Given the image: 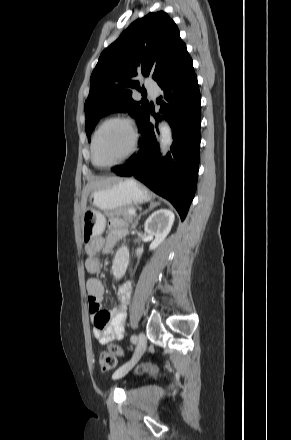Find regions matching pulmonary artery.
Masks as SVG:
<instances>
[{
  "instance_id": "obj_1",
  "label": "pulmonary artery",
  "mask_w": 291,
  "mask_h": 440,
  "mask_svg": "<svg viewBox=\"0 0 291 440\" xmlns=\"http://www.w3.org/2000/svg\"><path fill=\"white\" fill-rule=\"evenodd\" d=\"M145 84H146V87H147L149 93L153 97H156L159 94V89H158L157 85L154 82L146 81Z\"/></svg>"
}]
</instances>
